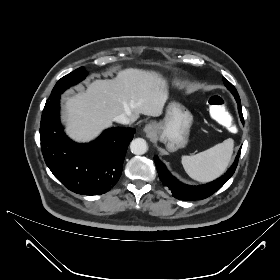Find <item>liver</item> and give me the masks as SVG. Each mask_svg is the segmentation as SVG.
I'll list each match as a JSON object with an SVG mask.
<instances>
[{
  "label": "liver",
  "instance_id": "1",
  "mask_svg": "<svg viewBox=\"0 0 280 280\" xmlns=\"http://www.w3.org/2000/svg\"><path fill=\"white\" fill-rule=\"evenodd\" d=\"M166 100L167 85L160 74L126 69L115 79L95 80L86 91L65 98L66 131L75 141L89 142L120 114L131 122L140 114L160 116Z\"/></svg>",
  "mask_w": 280,
  "mask_h": 280
}]
</instances>
